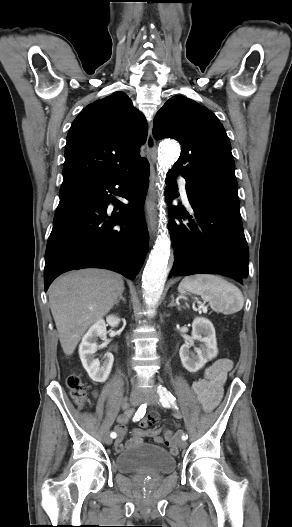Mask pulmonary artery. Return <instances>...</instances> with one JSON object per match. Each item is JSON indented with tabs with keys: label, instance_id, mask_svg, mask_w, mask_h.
Masks as SVG:
<instances>
[{
	"label": "pulmonary artery",
	"instance_id": "pulmonary-artery-1",
	"mask_svg": "<svg viewBox=\"0 0 292 527\" xmlns=\"http://www.w3.org/2000/svg\"><path fill=\"white\" fill-rule=\"evenodd\" d=\"M179 189H180V194L184 202L188 203L187 192H186V181L182 177L179 178Z\"/></svg>",
	"mask_w": 292,
	"mask_h": 527
}]
</instances>
